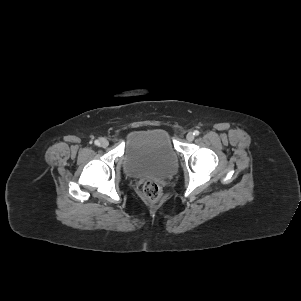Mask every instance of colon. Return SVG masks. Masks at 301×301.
I'll return each mask as SVG.
<instances>
[{"label":"colon","instance_id":"obj_1","mask_svg":"<svg viewBox=\"0 0 301 301\" xmlns=\"http://www.w3.org/2000/svg\"><path fill=\"white\" fill-rule=\"evenodd\" d=\"M144 196L151 202L158 203L163 198V189L159 183L154 180H148L142 187Z\"/></svg>","mask_w":301,"mask_h":301}]
</instances>
